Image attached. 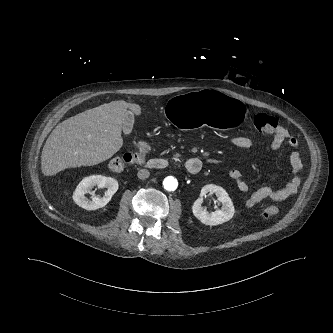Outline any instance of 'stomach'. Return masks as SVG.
<instances>
[{
  "label": "stomach",
  "instance_id": "0dacf381",
  "mask_svg": "<svg viewBox=\"0 0 333 333\" xmlns=\"http://www.w3.org/2000/svg\"><path fill=\"white\" fill-rule=\"evenodd\" d=\"M166 114L182 130L196 129L203 124L211 129L231 130L243 118V104L213 90L177 95L166 105Z\"/></svg>",
  "mask_w": 333,
  "mask_h": 333
}]
</instances>
